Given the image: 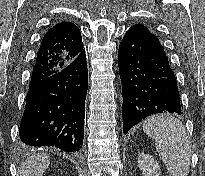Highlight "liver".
<instances>
[{
    "instance_id": "1",
    "label": "liver",
    "mask_w": 205,
    "mask_h": 176,
    "mask_svg": "<svg viewBox=\"0 0 205 176\" xmlns=\"http://www.w3.org/2000/svg\"><path fill=\"white\" fill-rule=\"evenodd\" d=\"M50 158L46 153H38L27 158L21 166V176H42L49 167Z\"/></svg>"
}]
</instances>
